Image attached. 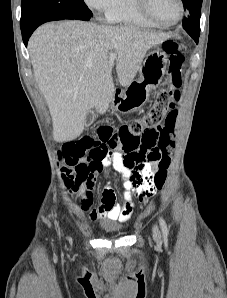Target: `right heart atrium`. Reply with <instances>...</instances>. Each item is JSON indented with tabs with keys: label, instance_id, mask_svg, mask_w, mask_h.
<instances>
[{
	"label": "right heart atrium",
	"instance_id": "1",
	"mask_svg": "<svg viewBox=\"0 0 227 298\" xmlns=\"http://www.w3.org/2000/svg\"><path fill=\"white\" fill-rule=\"evenodd\" d=\"M87 7L95 13H107L115 0H83Z\"/></svg>",
	"mask_w": 227,
	"mask_h": 298
}]
</instances>
